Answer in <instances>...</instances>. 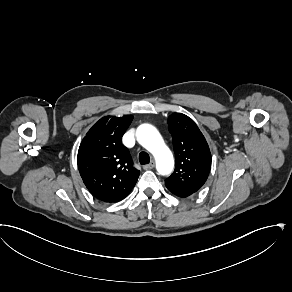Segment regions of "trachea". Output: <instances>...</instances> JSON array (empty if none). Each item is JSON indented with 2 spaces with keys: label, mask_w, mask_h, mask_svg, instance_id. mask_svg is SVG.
I'll return each instance as SVG.
<instances>
[{
  "label": "trachea",
  "mask_w": 292,
  "mask_h": 292,
  "mask_svg": "<svg viewBox=\"0 0 292 292\" xmlns=\"http://www.w3.org/2000/svg\"><path fill=\"white\" fill-rule=\"evenodd\" d=\"M139 162L141 165H146L150 162V156L148 155L147 152H140Z\"/></svg>",
  "instance_id": "obj_1"
}]
</instances>
